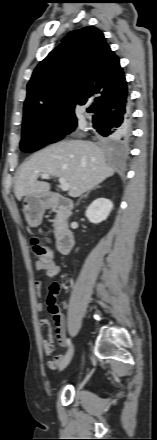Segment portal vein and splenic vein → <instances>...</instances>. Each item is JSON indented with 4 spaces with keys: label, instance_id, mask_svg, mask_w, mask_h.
Returning <instances> with one entry per match:
<instances>
[{
    "label": "portal vein and splenic vein",
    "instance_id": "portal-vein-and-splenic-vein-1",
    "mask_svg": "<svg viewBox=\"0 0 157 440\" xmlns=\"http://www.w3.org/2000/svg\"><path fill=\"white\" fill-rule=\"evenodd\" d=\"M41 178L48 179L49 175L43 174V175H41ZM59 182H60V187H61L62 191H68L70 189V184L64 178H59Z\"/></svg>",
    "mask_w": 157,
    "mask_h": 440
}]
</instances>
